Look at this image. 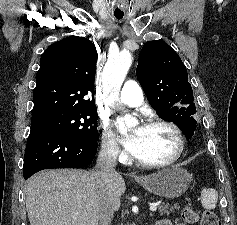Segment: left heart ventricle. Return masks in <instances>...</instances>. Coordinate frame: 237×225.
<instances>
[{
  "mask_svg": "<svg viewBox=\"0 0 237 225\" xmlns=\"http://www.w3.org/2000/svg\"><path fill=\"white\" fill-rule=\"evenodd\" d=\"M176 148L177 140L170 129L162 126L140 127V147L136 157L149 162L163 161L170 158Z\"/></svg>",
  "mask_w": 237,
  "mask_h": 225,
  "instance_id": "1",
  "label": "left heart ventricle"
}]
</instances>
